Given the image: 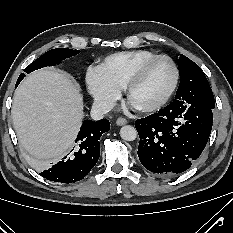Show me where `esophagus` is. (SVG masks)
<instances>
[{
  "label": "esophagus",
  "instance_id": "obj_1",
  "mask_svg": "<svg viewBox=\"0 0 233 233\" xmlns=\"http://www.w3.org/2000/svg\"><path fill=\"white\" fill-rule=\"evenodd\" d=\"M116 124H117L118 126H123V125L127 124V120H126L125 118H118V119L116 120Z\"/></svg>",
  "mask_w": 233,
  "mask_h": 233
}]
</instances>
